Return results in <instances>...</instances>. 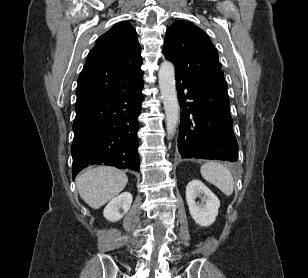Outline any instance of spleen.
Returning <instances> with one entry per match:
<instances>
[{
	"mask_svg": "<svg viewBox=\"0 0 308 278\" xmlns=\"http://www.w3.org/2000/svg\"><path fill=\"white\" fill-rule=\"evenodd\" d=\"M200 172L206 181L215 185L225 195H232L234 179L225 165L217 161H207L201 166Z\"/></svg>",
	"mask_w": 308,
	"mask_h": 278,
	"instance_id": "1",
	"label": "spleen"
}]
</instances>
